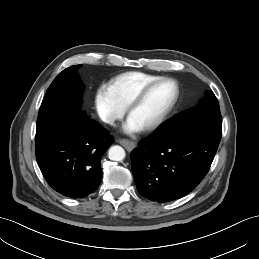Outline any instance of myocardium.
Instances as JSON below:
<instances>
[{
    "label": "myocardium",
    "mask_w": 259,
    "mask_h": 259,
    "mask_svg": "<svg viewBox=\"0 0 259 259\" xmlns=\"http://www.w3.org/2000/svg\"><path fill=\"white\" fill-rule=\"evenodd\" d=\"M163 82H171L175 86V96H174L172 102L168 105V107L162 112V114L155 121H153L149 125L142 128V130H144V131H152V130H155L156 128H158L159 126H161L164 123V121L168 118V116L171 114V112L174 110V108L176 107V105L179 101L180 94H181L180 85H179L178 81L171 77H160L156 80L151 81L150 83L144 85L130 99V101L128 102V104L125 108L127 115L130 116V113L132 112V110L142 102V100L145 98V96L148 94V92L154 86H156L160 83H163Z\"/></svg>",
    "instance_id": "f54148a6"
}]
</instances>
